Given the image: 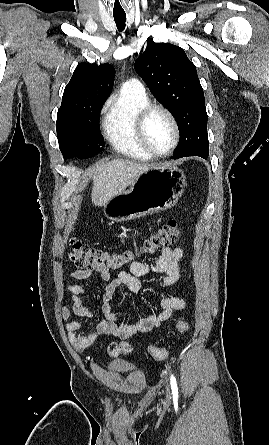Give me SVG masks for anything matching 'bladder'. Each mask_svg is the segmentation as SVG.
Returning <instances> with one entry per match:
<instances>
[{
	"mask_svg": "<svg viewBox=\"0 0 269 445\" xmlns=\"http://www.w3.org/2000/svg\"><path fill=\"white\" fill-rule=\"evenodd\" d=\"M106 369L111 373L126 374L136 372L129 364L121 361H111L106 365Z\"/></svg>",
	"mask_w": 269,
	"mask_h": 445,
	"instance_id": "1",
	"label": "bladder"
}]
</instances>
